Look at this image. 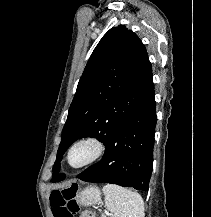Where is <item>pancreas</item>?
<instances>
[{"label": "pancreas", "mask_w": 211, "mask_h": 217, "mask_svg": "<svg viewBox=\"0 0 211 217\" xmlns=\"http://www.w3.org/2000/svg\"><path fill=\"white\" fill-rule=\"evenodd\" d=\"M102 217H106L104 214H102Z\"/></svg>", "instance_id": "1"}]
</instances>
